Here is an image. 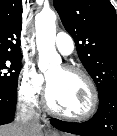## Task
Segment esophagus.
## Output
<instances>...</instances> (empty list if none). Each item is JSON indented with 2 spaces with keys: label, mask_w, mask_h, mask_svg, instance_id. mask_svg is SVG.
Listing matches in <instances>:
<instances>
[{
  "label": "esophagus",
  "mask_w": 117,
  "mask_h": 136,
  "mask_svg": "<svg viewBox=\"0 0 117 136\" xmlns=\"http://www.w3.org/2000/svg\"><path fill=\"white\" fill-rule=\"evenodd\" d=\"M47 132H48L50 135H52V134H54V133H55V132L51 129V127H50V126L48 127Z\"/></svg>",
  "instance_id": "34e87169"
}]
</instances>
